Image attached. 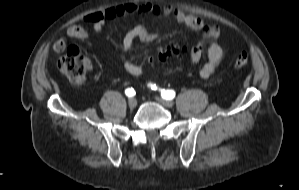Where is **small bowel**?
I'll return each instance as SVG.
<instances>
[{
  "label": "small bowel",
  "instance_id": "obj_1",
  "mask_svg": "<svg viewBox=\"0 0 299 190\" xmlns=\"http://www.w3.org/2000/svg\"><path fill=\"white\" fill-rule=\"evenodd\" d=\"M147 14L154 17H173L178 23L184 24L190 29L200 32L202 38L209 40L210 44L207 50V59L200 67L199 74L202 78H209L216 69L225 60L229 46L226 41H218L221 38V31L219 26L213 22H207L202 17L190 15L182 10H179L172 5H166L163 8L152 4H128L121 6L108 7L100 11L90 12L84 16V22L92 25L93 29L101 33L104 31L106 23L125 17L126 15H140ZM157 36V33L151 31L145 24H139L131 29L123 38L121 49V61L125 70L133 75L140 76L144 70L141 66L132 63L127 58V53L132 48L136 40H150ZM88 37V31L86 28L74 25L70 26L65 36L57 40L53 45L55 52H62L66 49L68 40L71 38L85 39ZM203 39L199 40L190 51V62L197 64L200 62L203 54L204 43ZM88 67L91 68V64L88 63Z\"/></svg>",
  "mask_w": 299,
  "mask_h": 190
}]
</instances>
